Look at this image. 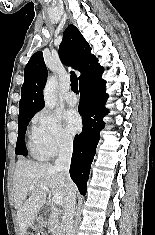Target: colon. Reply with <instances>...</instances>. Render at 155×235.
<instances>
[{"instance_id":"colon-1","label":"colon","mask_w":155,"mask_h":235,"mask_svg":"<svg viewBox=\"0 0 155 235\" xmlns=\"http://www.w3.org/2000/svg\"><path fill=\"white\" fill-rule=\"evenodd\" d=\"M26 235H44L43 233H38V232H29Z\"/></svg>"}]
</instances>
